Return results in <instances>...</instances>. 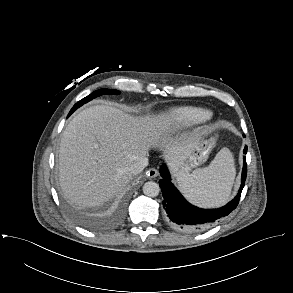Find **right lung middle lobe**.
<instances>
[{"label": "right lung middle lobe", "mask_w": 293, "mask_h": 293, "mask_svg": "<svg viewBox=\"0 0 293 293\" xmlns=\"http://www.w3.org/2000/svg\"><path fill=\"white\" fill-rule=\"evenodd\" d=\"M120 92L117 90H113V89H99L94 91L93 93H91L90 95H88L87 97L83 98L82 100H80L79 102H77L73 108L71 109L69 115H71L77 108H79L80 106H82L83 104L89 102L90 100L104 95V94H109V95H113V94H119Z\"/></svg>", "instance_id": "obj_1"}]
</instances>
